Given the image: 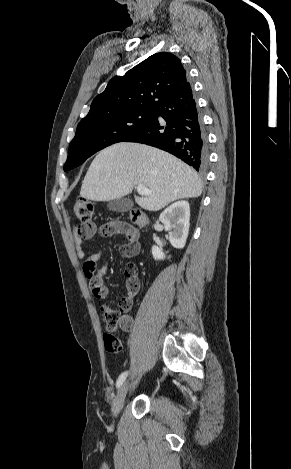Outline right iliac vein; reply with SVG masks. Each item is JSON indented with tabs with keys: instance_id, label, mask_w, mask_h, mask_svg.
<instances>
[{
	"instance_id": "1",
	"label": "right iliac vein",
	"mask_w": 291,
	"mask_h": 469,
	"mask_svg": "<svg viewBox=\"0 0 291 469\" xmlns=\"http://www.w3.org/2000/svg\"><path fill=\"white\" fill-rule=\"evenodd\" d=\"M127 391H128V382H125V383H123V384L121 385V387L119 388L118 393H117V396H116V398H115V400H114L112 412H113V415H114L115 417L118 416V414L120 413V411H121L122 408H123L124 400H125Z\"/></svg>"
}]
</instances>
